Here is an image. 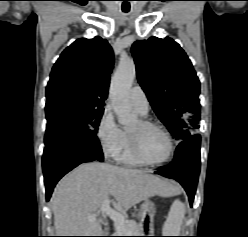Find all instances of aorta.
<instances>
[{
  "mask_svg": "<svg viewBox=\"0 0 248 237\" xmlns=\"http://www.w3.org/2000/svg\"><path fill=\"white\" fill-rule=\"evenodd\" d=\"M136 75L134 61L122 60L112 78L110 87V101L118 122L123 126L135 123L136 115L133 113L129 101V90Z\"/></svg>",
  "mask_w": 248,
  "mask_h": 237,
  "instance_id": "762f6f07",
  "label": "aorta"
}]
</instances>
